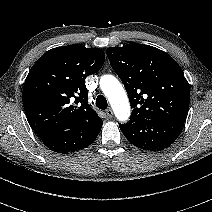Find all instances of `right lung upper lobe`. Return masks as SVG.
<instances>
[{"instance_id":"cb5924a9","label":"right lung upper lobe","mask_w":212,"mask_h":212,"mask_svg":"<svg viewBox=\"0 0 212 212\" xmlns=\"http://www.w3.org/2000/svg\"><path fill=\"white\" fill-rule=\"evenodd\" d=\"M104 61L99 48L69 45L47 51L32 66L22 100L27 120L39 138L101 128V118L88 104L85 79L100 70Z\"/></svg>"}]
</instances>
